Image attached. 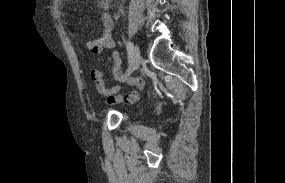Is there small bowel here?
<instances>
[{"instance_id": "obj_1", "label": "small bowel", "mask_w": 285, "mask_h": 183, "mask_svg": "<svg viewBox=\"0 0 285 183\" xmlns=\"http://www.w3.org/2000/svg\"><path fill=\"white\" fill-rule=\"evenodd\" d=\"M112 0H97V6L103 10V13L99 19V24L102 28V35L96 40L87 42V48L95 55L101 54L104 50L113 49L115 42L113 39L114 21L110 15V5ZM113 75L116 80L125 81L129 85L134 86L136 89L134 92L128 94L125 97V101L134 102L138 99L139 92L144 87V81L142 78H128L125 79L122 75V60L118 52H113ZM91 79L95 83L98 92L106 97L108 104L119 103L123 100L121 95H118L120 91L119 85H114L111 88H107L105 85L104 73L99 69H93L91 71Z\"/></svg>"}]
</instances>
